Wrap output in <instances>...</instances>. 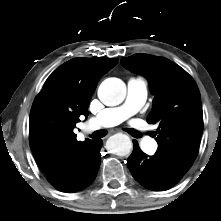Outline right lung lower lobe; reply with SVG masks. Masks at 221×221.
<instances>
[{
	"label": "right lung lower lobe",
	"mask_w": 221,
	"mask_h": 221,
	"mask_svg": "<svg viewBox=\"0 0 221 221\" xmlns=\"http://www.w3.org/2000/svg\"><path fill=\"white\" fill-rule=\"evenodd\" d=\"M102 141H93L83 152L71 173L60 183H51L62 192H76L89 186L95 179L101 161Z\"/></svg>",
	"instance_id": "right-lung-lower-lobe-1"
}]
</instances>
